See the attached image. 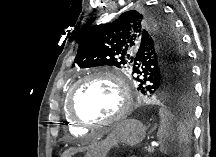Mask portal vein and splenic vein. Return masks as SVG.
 Segmentation results:
<instances>
[{
	"instance_id": "portal-vein-and-splenic-vein-1",
	"label": "portal vein and splenic vein",
	"mask_w": 216,
	"mask_h": 157,
	"mask_svg": "<svg viewBox=\"0 0 216 157\" xmlns=\"http://www.w3.org/2000/svg\"><path fill=\"white\" fill-rule=\"evenodd\" d=\"M154 147H155V145L152 144V145L148 148V151H149V152L153 151Z\"/></svg>"
}]
</instances>
